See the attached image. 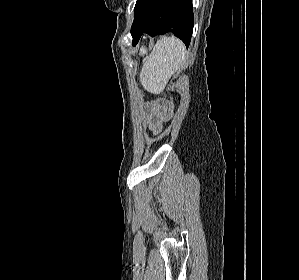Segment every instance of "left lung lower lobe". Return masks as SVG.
I'll list each match as a JSON object with an SVG mask.
<instances>
[{
	"label": "left lung lower lobe",
	"instance_id": "1",
	"mask_svg": "<svg viewBox=\"0 0 299 280\" xmlns=\"http://www.w3.org/2000/svg\"><path fill=\"white\" fill-rule=\"evenodd\" d=\"M134 10L133 45L143 33L154 37L172 32L189 46L194 25L192 0H137Z\"/></svg>",
	"mask_w": 299,
	"mask_h": 280
}]
</instances>
